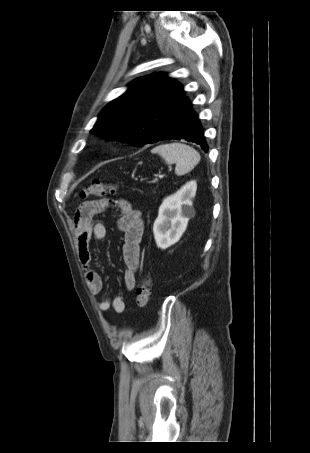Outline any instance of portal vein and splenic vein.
<instances>
[{
  "instance_id": "portal-vein-and-splenic-vein-1",
  "label": "portal vein and splenic vein",
  "mask_w": 310,
  "mask_h": 453,
  "mask_svg": "<svg viewBox=\"0 0 310 453\" xmlns=\"http://www.w3.org/2000/svg\"><path fill=\"white\" fill-rule=\"evenodd\" d=\"M159 177L161 178V177H163V175H160Z\"/></svg>"
}]
</instances>
